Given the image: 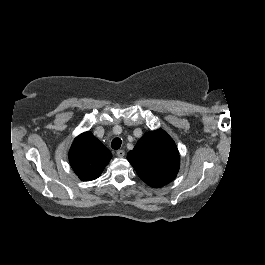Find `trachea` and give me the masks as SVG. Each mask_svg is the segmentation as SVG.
Returning <instances> with one entry per match:
<instances>
[{
	"label": "trachea",
	"instance_id": "obj_1",
	"mask_svg": "<svg viewBox=\"0 0 265 265\" xmlns=\"http://www.w3.org/2000/svg\"><path fill=\"white\" fill-rule=\"evenodd\" d=\"M122 140L120 138H115L112 140L111 146L113 149L117 150L120 148Z\"/></svg>",
	"mask_w": 265,
	"mask_h": 265
}]
</instances>
